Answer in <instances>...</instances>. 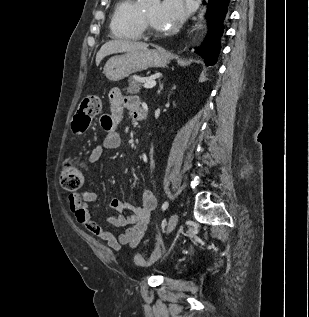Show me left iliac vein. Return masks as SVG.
I'll list each match as a JSON object with an SVG mask.
<instances>
[{
    "label": "left iliac vein",
    "instance_id": "left-iliac-vein-1",
    "mask_svg": "<svg viewBox=\"0 0 309 317\" xmlns=\"http://www.w3.org/2000/svg\"><path fill=\"white\" fill-rule=\"evenodd\" d=\"M178 219H179L178 214L174 213L171 215L167 225V233H170L171 231L174 230V228L176 227L178 223Z\"/></svg>",
    "mask_w": 309,
    "mask_h": 317
}]
</instances>
